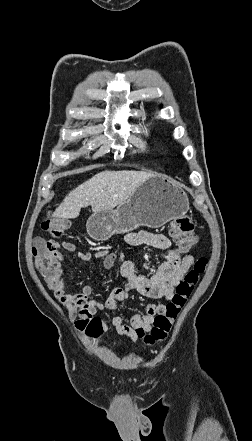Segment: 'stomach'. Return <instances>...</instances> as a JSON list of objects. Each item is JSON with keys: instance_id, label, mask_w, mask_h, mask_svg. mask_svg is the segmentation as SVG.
Wrapping results in <instances>:
<instances>
[{"instance_id": "obj_1", "label": "stomach", "mask_w": 252, "mask_h": 441, "mask_svg": "<svg viewBox=\"0 0 252 441\" xmlns=\"http://www.w3.org/2000/svg\"><path fill=\"white\" fill-rule=\"evenodd\" d=\"M188 209L186 193L173 180L154 175L116 209L94 212L86 228L92 239L105 241L114 234H124L139 226L161 227L184 216Z\"/></svg>"}]
</instances>
